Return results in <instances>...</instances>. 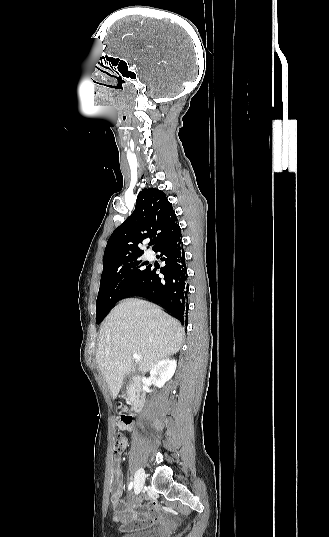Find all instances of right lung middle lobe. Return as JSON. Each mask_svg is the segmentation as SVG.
Listing matches in <instances>:
<instances>
[{
	"mask_svg": "<svg viewBox=\"0 0 329 537\" xmlns=\"http://www.w3.org/2000/svg\"><path fill=\"white\" fill-rule=\"evenodd\" d=\"M148 269L146 262L139 258L127 263L103 267L100 289L96 301V322L100 323L109 309L129 292L143 277Z\"/></svg>",
	"mask_w": 329,
	"mask_h": 537,
	"instance_id": "obj_1",
	"label": "right lung middle lobe"
}]
</instances>
